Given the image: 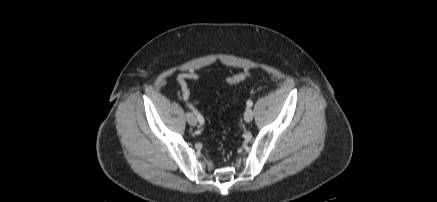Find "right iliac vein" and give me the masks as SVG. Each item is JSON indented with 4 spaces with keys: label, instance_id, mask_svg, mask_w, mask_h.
Wrapping results in <instances>:
<instances>
[{
    "label": "right iliac vein",
    "instance_id": "obj_1",
    "mask_svg": "<svg viewBox=\"0 0 437 202\" xmlns=\"http://www.w3.org/2000/svg\"><path fill=\"white\" fill-rule=\"evenodd\" d=\"M186 119L187 122L191 125V126H196L197 125V119L195 117V115L191 112H187L186 114Z\"/></svg>",
    "mask_w": 437,
    "mask_h": 202
}]
</instances>
